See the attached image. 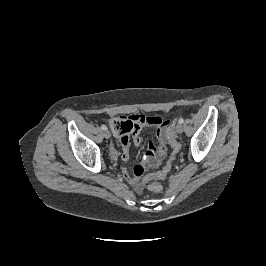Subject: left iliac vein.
<instances>
[{
    "mask_svg": "<svg viewBox=\"0 0 266 266\" xmlns=\"http://www.w3.org/2000/svg\"><path fill=\"white\" fill-rule=\"evenodd\" d=\"M175 129L178 134H181L183 132V127L181 124H177Z\"/></svg>",
    "mask_w": 266,
    "mask_h": 266,
    "instance_id": "4c4485c4",
    "label": "left iliac vein"
}]
</instances>
